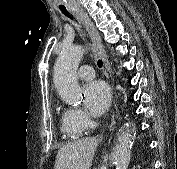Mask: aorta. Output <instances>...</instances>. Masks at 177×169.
<instances>
[{"label":"aorta","mask_w":177,"mask_h":169,"mask_svg":"<svg viewBox=\"0 0 177 169\" xmlns=\"http://www.w3.org/2000/svg\"><path fill=\"white\" fill-rule=\"evenodd\" d=\"M85 49L80 45L64 46L54 65L53 81L60 98L68 104L77 105L81 101V89L76 77L77 68ZM134 132L124 129L117 138L114 163L116 169H127Z\"/></svg>","instance_id":"1"}]
</instances>
